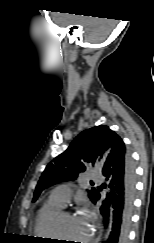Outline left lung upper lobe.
Listing matches in <instances>:
<instances>
[{
	"label": "left lung upper lobe",
	"instance_id": "5c2ea615",
	"mask_svg": "<svg viewBox=\"0 0 154 243\" xmlns=\"http://www.w3.org/2000/svg\"><path fill=\"white\" fill-rule=\"evenodd\" d=\"M123 150L124 142L109 127L100 125L84 130L65 152L47 165L35 189L33 201H36L45 187L65 180H74L90 165L104 164L109 155L116 156ZM96 192L94 187L88 190L91 201Z\"/></svg>",
	"mask_w": 154,
	"mask_h": 243
}]
</instances>
